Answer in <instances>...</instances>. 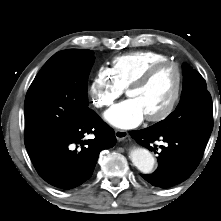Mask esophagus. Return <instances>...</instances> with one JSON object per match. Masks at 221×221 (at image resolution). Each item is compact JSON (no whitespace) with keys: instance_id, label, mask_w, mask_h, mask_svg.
Segmentation results:
<instances>
[{"instance_id":"34e87169","label":"esophagus","mask_w":221,"mask_h":221,"mask_svg":"<svg viewBox=\"0 0 221 221\" xmlns=\"http://www.w3.org/2000/svg\"><path fill=\"white\" fill-rule=\"evenodd\" d=\"M115 137L118 141H122L128 137V132L125 130H116Z\"/></svg>"}]
</instances>
